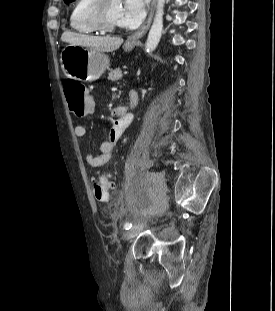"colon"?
Masks as SVG:
<instances>
[{
    "label": "colon",
    "instance_id": "5ec220e1",
    "mask_svg": "<svg viewBox=\"0 0 275 311\" xmlns=\"http://www.w3.org/2000/svg\"><path fill=\"white\" fill-rule=\"evenodd\" d=\"M64 90L71 112L78 115L80 120H83L84 117H90L94 111L93 93L88 92L83 84L73 80L65 82ZM110 188L111 185L105 175L99 174L94 177L92 189L98 201L108 200Z\"/></svg>",
    "mask_w": 275,
    "mask_h": 311
}]
</instances>
